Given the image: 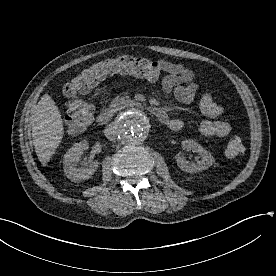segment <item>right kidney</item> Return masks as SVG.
<instances>
[{
	"instance_id": "right-kidney-1",
	"label": "right kidney",
	"mask_w": 276,
	"mask_h": 276,
	"mask_svg": "<svg viewBox=\"0 0 276 276\" xmlns=\"http://www.w3.org/2000/svg\"><path fill=\"white\" fill-rule=\"evenodd\" d=\"M89 148L86 141L75 143L64 155V173L72 182H82L88 180L99 166V162L94 160L84 167H78L81 155Z\"/></svg>"
}]
</instances>
